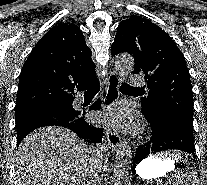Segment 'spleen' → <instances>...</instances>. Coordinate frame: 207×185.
I'll return each mask as SVG.
<instances>
[{
	"instance_id": "obj_1",
	"label": "spleen",
	"mask_w": 207,
	"mask_h": 185,
	"mask_svg": "<svg viewBox=\"0 0 207 185\" xmlns=\"http://www.w3.org/2000/svg\"><path fill=\"white\" fill-rule=\"evenodd\" d=\"M160 158H165V153L159 154ZM178 164L182 163L181 159L177 160ZM196 183H200V174H198V170H192V166H189L188 158H183V169L172 170V174H170V178L167 179L165 185H196Z\"/></svg>"
}]
</instances>
